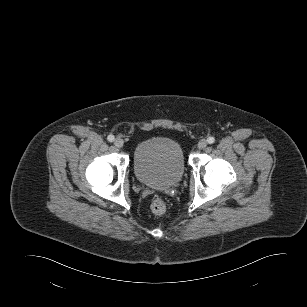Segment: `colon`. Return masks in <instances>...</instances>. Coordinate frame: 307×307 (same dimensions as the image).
<instances>
[{
	"label": "colon",
	"instance_id": "obj_1",
	"mask_svg": "<svg viewBox=\"0 0 307 307\" xmlns=\"http://www.w3.org/2000/svg\"><path fill=\"white\" fill-rule=\"evenodd\" d=\"M151 210L155 215H162L166 211V204L163 199L156 198L151 204Z\"/></svg>",
	"mask_w": 307,
	"mask_h": 307
}]
</instances>
